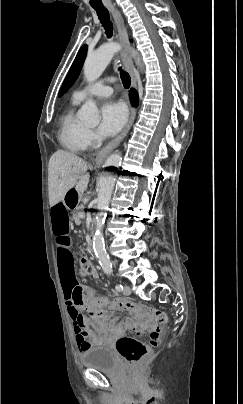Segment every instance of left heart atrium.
<instances>
[{"mask_svg": "<svg viewBox=\"0 0 243 404\" xmlns=\"http://www.w3.org/2000/svg\"><path fill=\"white\" fill-rule=\"evenodd\" d=\"M126 116L125 107L120 102L106 101L101 108L99 134L105 137L116 134L123 127Z\"/></svg>", "mask_w": 243, "mask_h": 404, "instance_id": "1", "label": "left heart atrium"}]
</instances>
